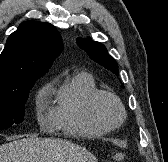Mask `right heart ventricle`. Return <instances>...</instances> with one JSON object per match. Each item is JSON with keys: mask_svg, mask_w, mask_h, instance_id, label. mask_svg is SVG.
I'll list each match as a JSON object with an SVG mask.
<instances>
[{"mask_svg": "<svg viewBox=\"0 0 168 162\" xmlns=\"http://www.w3.org/2000/svg\"><path fill=\"white\" fill-rule=\"evenodd\" d=\"M94 77L85 71H75L67 75L56 93L52 110L53 125L65 133L94 137L107 132L90 118L87 112L89 97L97 91Z\"/></svg>", "mask_w": 168, "mask_h": 162, "instance_id": "right-heart-ventricle-1", "label": "right heart ventricle"}]
</instances>
